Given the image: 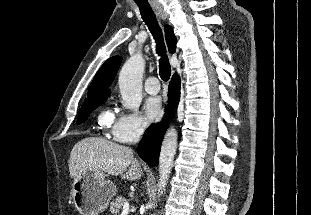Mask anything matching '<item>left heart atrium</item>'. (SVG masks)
Here are the masks:
<instances>
[{
    "label": "left heart atrium",
    "instance_id": "obj_1",
    "mask_svg": "<svg viewBox=\"0 0 311 215\" xmlns=\"http://www.w3.org/2000/svg\"><path fill=\"white\" fill-rule=\"evenodd\" d=\"M162 111L161 100L158 97H149L144 102L143 120L145 124L158 118Z\"/></svg>",
    "mask_w": 311,
    "mask_h": 215
}]
</instances>
